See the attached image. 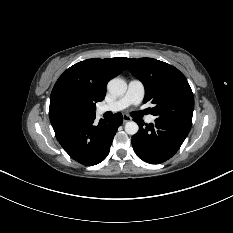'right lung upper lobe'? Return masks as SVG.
I'll use <instances>...</instances> for the list:
<instances>
[{
	"instance_id": "cb5924a9",
	"label": "right lung upper lobe",
	"mask_w": 233,
	"mask_h": 233,
	"mask_svg": "<svg viewBox=\"0 0 233 233\" xmlns=\"http://www.w3.org/2000/svg\"><path fill=\"white\" fill-rule=\"evenodd\" d=\"M121 59H87L68 68L51 92L50 122L72 117L62 108L67 100H74L80 105V114L76 116L95 114L96 103L105 98L107 82L125 69Z\"/></svg>"
}]
</instances>
